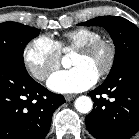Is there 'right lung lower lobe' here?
<instances>
[{
    "mask_svg": "<svg viewBox=\"0 0 139 139\" xmlns=\"http://www.w3.org/2000/svg\"><path fill=\"white\" fill-rule=\"evenodd\" d=\"M65 99L35 82L26 68L0 60V139H44Z\"/></svg>",
    "mask_w": 139,
    "mask_h": 139,
    "instance_id": "right-lung-lower-lobe-1",
    "label": "right lung lower lobe"
}]
</instances>
